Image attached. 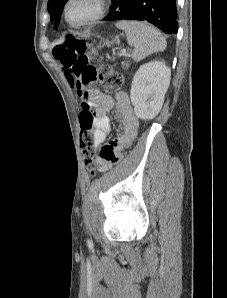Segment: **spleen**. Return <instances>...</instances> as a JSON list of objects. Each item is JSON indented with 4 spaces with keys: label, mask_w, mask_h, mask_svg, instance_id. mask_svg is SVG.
<instances>
[{
    "label": "spleen",
    "mask_w": 227,
    "mask_h": 298,
    "mask_svg": "<svg viewBox=\"0 0 227 298\" xmlns=\"http://www.w3.org/2000/svg\"><path fill=\"white\" fill-rule=\"evenodd\" d=\"M116 27L125 31L128 44L135 48L133 59L136 62L166 48V39L162 34L145 22L119 21Z\"/></svg>",
    "instance_id": "spleen-1"
}]
</instances>
